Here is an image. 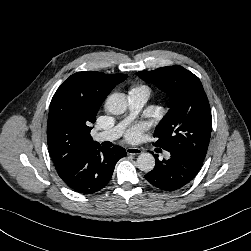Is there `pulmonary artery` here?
<instances>
[{
	"mask_svg": "<svg viewBox=\"0 0 251 251\" xmlns=\"http://www.w3.org/2000/svg\"><path fill=\"white\" fill-rule=\"evenodd\" d=\"M149 99V92L144 89L131 90L128 94L129 107L131 115L137 114L142 107L146 104ZM122 124L117 125L116 127L97 133L94 139L98 142L102 141H114L121 135ZM170 154L165 153V157L169 158Z\"/></svg>",
	"mask_w": 251,
	"mask_h": 251,
	"instance_id": "obj_1",
	"label": "pulmonary artery"
}]
</instances>
